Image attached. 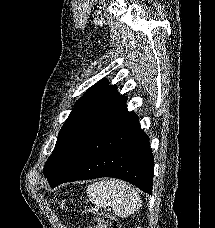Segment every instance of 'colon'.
<instances>
[{"label": "colon", "mask_w": 215, "mask_h": 228, "mask_svg": "<svg viewBox=\"0 0 215 228\" xmlns=\"http://www.w3.org/2000/svg\"><path fill=\"white\" fill-rule=\"evenodd\" d=\"M96 228H118L117 221L108 213L100 212L95 217Z\"/></svg>", "instance_id": "5ec220e1"}]
</instances>
